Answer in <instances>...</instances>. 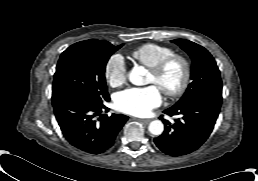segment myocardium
<instances>
[{
    "mask_svg": "<svg viewBox=\"0 0 258 181\" xmlns=\"http://www.w3.org/2000/svg\"><path fill=\"white\" fill-rule=\"evenodd\" d=\"M174 62H178L182 67L181 79L174 88H161L162 91L170 97L180 96L186 91L191 76V64L189 60L181 54L172 53L150 68L151 73L156 77H161L166 72L167 68Z\"/></svg>",
    "mask_w": 258,
    "mask_h": 181,
    "instance_id": "1",
    "label": "myocardium"
}]
</instances>
